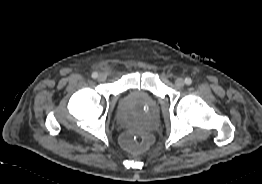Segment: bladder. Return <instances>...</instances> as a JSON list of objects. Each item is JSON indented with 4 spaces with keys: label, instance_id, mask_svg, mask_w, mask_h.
Masks as SVG:
<instances>
[{
    "label": "bladder",
    "instance_id": "1",
    "mask_svg": "<svg viewBox=\"0 0 262 184\" xmlns=\"http://www.w3.org/2000/svg\"><path fill=\"white\" fill-rule=\"evenodd\" d=\"M119 123L124 126L125 128H133L136 126V123L134 120L129 118L128 116H124L123 114L118 115Z\"/></svg>",
    "mask_w": 262,
    "mask_h": 184
}]
</instances>
